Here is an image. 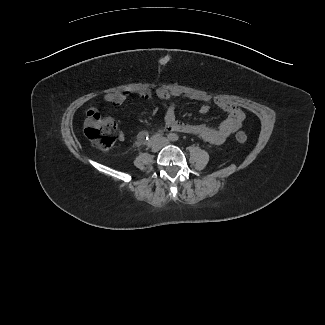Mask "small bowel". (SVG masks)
I'll return each instance as SVG.
<instances>
[{"label": "small bowel", "mask_w": 325, "mask_h": 325, "mask_svg": "<svg viewBox=\"0 0 325 325\" xmlns=\"http://www.w3.org/2000/svg\"><path fill=\"white\" fill-rule=\"evenodd\" d=\"M135 94L143 100H152L158 98L164 102H169L174 98H188L191 100L202 102L199 111L203 114L211 109V98L207 95L200 93H188L180 90H167L163 88L155 89H140ZM128 93L124 91L108 92L103 95V100L106 102L114 103L116 105L122 104L127 99ZM215 105L222 111L227 113V117L220 123L217 128L209 127L204 124H191L181 122L177 119L175 107L173 104H168L164 112L165 128L169 132H182L194 134L202 138L204 141L213 144L221 145L228 137H230L236 130H238L244 120L243 112L234 104L222 98L214 100ZM99 110L95 107L91 108L88 112ZM119 139H124V133H119Z\"/></svg>", "instance_id": "c3829d8e"}]
</instances>
